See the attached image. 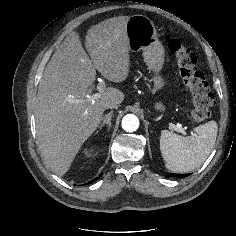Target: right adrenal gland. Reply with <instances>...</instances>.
<instances>
[{"instance_id": "1", "label": "right adrenal gland", "mask_w": 236, "mask_h": 236, "mask_svg": "<svg viewBox=\"0 0 236 236\" xmlns=\"http://www.w3.org/2000/svg\"><path fill=\"white\" fill-rule=\"evenodd\" d=\"M112 115H113L112 111L105 115L104 120H103L102 124L99 127V130H101L104 127V125L108 126V131L110 130Z\"/></svg>"}]
</instances>
